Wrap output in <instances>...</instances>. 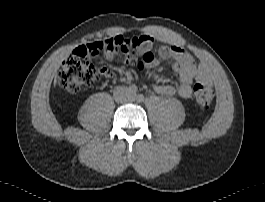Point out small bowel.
<instances>
[{"label": "small bowel", "mask_w": 265, "mask_h": 202, "mask_svg": "<svg viewBox=\"0 0 265 202\" xmlns=\"http://www.w3.org/2000/svg\"><path fill=\"white\" fill-rule=\"evenodd\" d=\"M153 41H155V36L153 34H148L145 39V44L151 45ZM75 53L92 55L89 47L84 46L77 48ZM157 53L159 57L171 59L173 61V69L179 75L180 85L175 87L171 84H155L153 85L154 90L165 96H172L177 93L183 99L191 98V85L194 81L201 78L203 70L194 62L192 57L178 45H160L157 48ZM103 57L110 60L113 58V54L111 52H104ZM138 60L142 61L143 68L145 69H155L159 66V61L155 54L145 56V51L143 49H139L136 55L127 54L122 58V61L126 64H132ZM123 81H131V76L126 74L123 77Z\"/></svg>", "instance_id": "1"}]
</instances>
